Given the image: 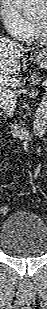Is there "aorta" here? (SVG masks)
Instances as JSON below:
<instances>
[{
    "label": "aorta",
    "instance_id": "1",
    "mask_svg": "<svg viewBox=\"0 0 47 309\" xmlns=\"http://www.w3.org/2000/svg\"><path fill=\"white\" fill-rule=\"evenodd\" d=\"M23 15L29 16L36 10V0H14Z\"/></svg>",
    "mask_w": 47,
    "mask_h": 309
}]
</instances>
